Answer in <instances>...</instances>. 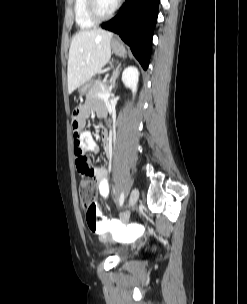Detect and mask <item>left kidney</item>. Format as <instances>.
Here are the masks:
<instances>
[{
    "instance_id": "left-kidney-1",
    "label": "left kidney",
    "mask_w": 247,
    "mask_h": 304,
    "mask_svg": "<svg viewBox=\"0 0 247 304\" xmlns=\"http://www.w3.org/2000/svg\"><path fill=\"white\" fill-rule=\"evenodd\" d=\"M139 80L138 69L134 66H128L122 73V81L124 85L132 90L133 93L137 91Z\"/></svg>"
}]
</instances>
